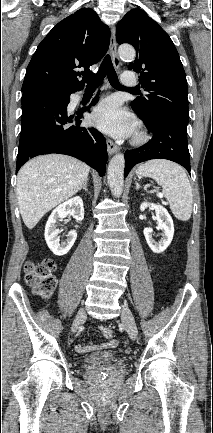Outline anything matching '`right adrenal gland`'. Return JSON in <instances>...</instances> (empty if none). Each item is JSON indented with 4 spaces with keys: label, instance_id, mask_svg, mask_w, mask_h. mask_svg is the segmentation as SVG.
Returning <instances> with one entry per match:
<instances>
[{
    "label": "right adrenal gland",
    "instance_id": "right-adrenal-gland-1",
    "mask_svg": "<svg viewBox=\"0 0 213 433\" xmlns=\"http://www.w3.org/2000/svg\"><path fill=\"white\" fill-rule=\"evenodd\" d=\"M87 183H88V179L86 180V182L83 184V186L81 187V189L80 190H85L86 192L88 191V189H87Z\"/></svg>",
    "mask_w": 213,
    "mask_h": 433
}]
</instances>
